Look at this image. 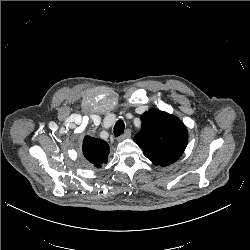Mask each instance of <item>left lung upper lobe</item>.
<instances>
[{
  "label": "left lung upper lobe",
  "instance_id": "1",
  "mask_svg": "<svg viewBox=\"0 0 250 250\" xmlns=\"http://www.w3.org/2000/svg\"><path fill=\"white\" fill-rule=\"evenodd\" d=\"M134 141L153 164L164 167L183 154L188 132L176 116L151 109L142 115V130L134 137Z\"/></svg>",
  "mask_w": 250,
  "mask_h": 250
}]
</instances>
